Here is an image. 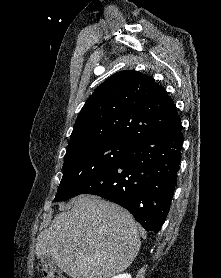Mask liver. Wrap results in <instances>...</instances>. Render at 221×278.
<instances>
[{"label":"liver","mask_w":221,"mask_h":278,"mask_svg":"<svg viewBox=\"0 0 221 278\" xmlns=\"http://www.w3.org/2000/svg\"><path fill=\"white\" fill-rule=\"evenodd\" d=\"M37 237L36 256H51L72 278H111L127 269L140 249L132 215L97 196L80 195Z\"/></svg>","instance_id":"liver-1"}]
</instances>
